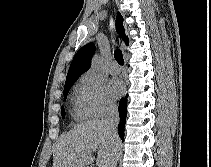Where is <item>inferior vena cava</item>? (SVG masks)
Returning a JSON list of instances; mask_svg holds the SVG:
<instances>
[{"label":"inferior vena cava","instance_id":"inferior-vena-cava-1","mask_svg":"<svg viewBox=\"0 0 211 167\" xmlns=\"http://www.w3.org/2000/svg\"><path fill=\"white\" fill-rule=\"evenodd\" d=\"M103 124L107 129V131L109 132V134L111 135L112 140L114 142L120 141L117 132V126L119 124V114H118V107L116 106V104L110 103L107 105ZM118 156H119V150L116 153V159L118 158ZM116 162L113 165V167H116Z\"/></svg>","mask_w":211,"mask_h":167}]
</instances>
